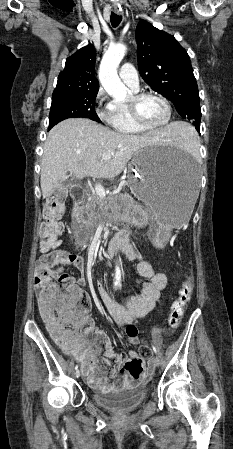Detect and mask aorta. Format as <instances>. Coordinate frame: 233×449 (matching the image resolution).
Returning a JSON list of instances; mask_svg holds the SVG:
<instances>
[{
	"label": "aorta",
	"instance_id": "1",
	"mask_svg": "<svg viewBox=\"0 0 233 449\" xmlns=\"http://www.w3.org/2000/svg\"><path fill=\"white\" fill-rule=\"evenodd\" d=\"M126 50L127 48L123 44L109 47L99 68V80L102 86L110 96L118 101L125 99L128 92V88L121 82L117 74L118 65L125 56ZM120 275V267L116 266V278H119Z\"/></svg>",
	"mask_w": 233,
	"mask_h": 449
}]
</instances>
